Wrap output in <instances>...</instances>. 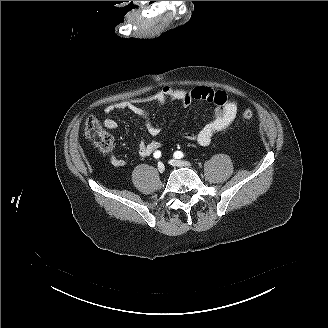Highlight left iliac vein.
Instances as JSON below:
<instances>
[{"label": "left iliac vein", "instance_id": "1", "mask_svg": "<svg viewBox=\"0 0 328 328\" xmlns=\"http://www.w3.org/2000/svg\"><path fill=\"white\" fill-rule=\"evenodd\" d=\"M169 163L173 166H177V167H183V166H190L191 164L188 161H184V160H170Z\"/></svg>", "mask_w": 328, "mask_h": 328}]
</instances>
